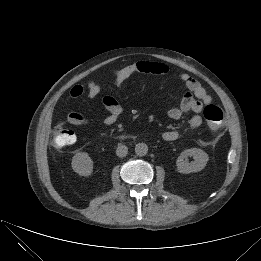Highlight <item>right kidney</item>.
<instances>
[{
    "label": "right kidney",
    "instance_id": "obj_1",
    "mask_svg": "<svg viewBox=\"0 0 261 261\" xmlns=\"http://www.w3.org/2000/svg\"><path fill=\"white\" fill-rule=\"evenodd\" d=\"M72 169L81 176H89L93 171V161L86 152H79L72 158Z\"/></svg>",
    "mask_w": 261,
    "mask_h": 261
}]
</instances>
